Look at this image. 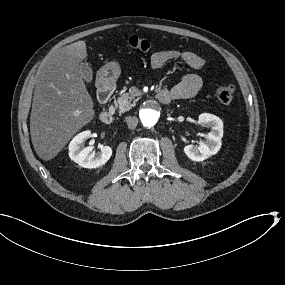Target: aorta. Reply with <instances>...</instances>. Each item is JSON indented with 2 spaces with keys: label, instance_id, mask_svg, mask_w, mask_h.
<instances>
[{
  "label": "aorta",
  "instance_id": "obj_1",
  "mask_svg": "<svg viewBox=\"0 0 285 285\" xmlns=\"http://www.w3.org/2000/svg\"><path fill=\"white\" fill-rule=\"evenodd\" d=\"M138 117L144 127H155L163 121L165 110L159 102L148 100L140 106Z\"/></svg>",
  "mask_w": 285,
  "mask_h": 285
}]
</instances>
